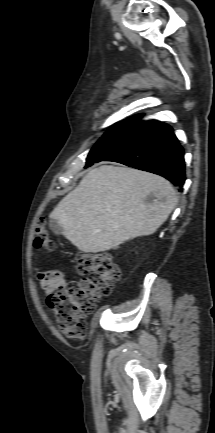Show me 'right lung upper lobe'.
I'll return each instance as SVG.
<instances>
[{"label":"right lung upper lobe","mask_w":215,"mask_h":433,"mask_svg":"<svg viewBox=\"0 0 215 433\" xmlns=\"http://www.w3.org/2000/svg\"><path fill=\"white\" fill-rule=\"evenodd\" d=\"M141 116L140 115H137V116H134V117H132V118H137V119H139Z\"/></svg>","instance_id":"obj_1"}]
</instances>
